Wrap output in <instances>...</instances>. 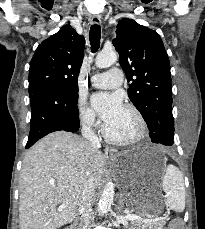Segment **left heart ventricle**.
<instances>
[{
	"mask_svg": "<svg viewBox=\"0 0 205 229\" xmlns=\"http://www.w3.org/2000/svg\"><path fill=\"white\" fill-rule=\"evenodd\" d=\"M106 128L112 136L126 138L136 132L137 122L133 114L124 108L113 122L106 125Z\"/></svg>",
	"mask_w": 205,
	"mask_h": 229,
	"instance_id": "left-heart-ventricle-1",
	"label": "left heart ventricle"
}]
</instances>
